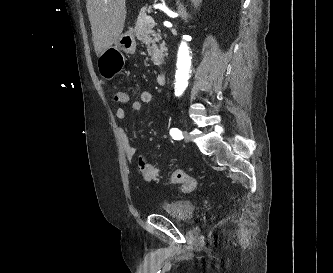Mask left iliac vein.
<instances>
[{
  "label": "left iliac vein",
  "instance_id": "obj_1",
  "mask_svg": "<svg viewBox=\"0 0 333 273\" xmlns=\"http://www.w3.org/2000/svg\"><path fill=\"white\" fill-rule=\"evenodd\" d=\"M183 136H184V140L186 141V142H189L190 140H191V136H190V134H189V132L188 131H183Z\"/></svg>",
  "mask_w": 333,
  "mask_h": 273
}]
</instances>
